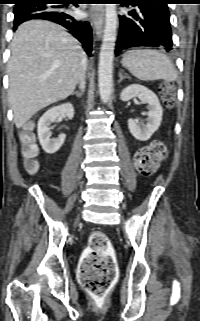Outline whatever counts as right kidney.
<instances>
[{
  "instance_id": "1",
  "label": "right kidney",
  "mask_w": 200,
  "mask_h": 321,
  "mask_svg": "<svg viewBox=\"0 0 200 321\" xmlns=\"http://www.w3.org/2000/svg\"><path fill=\"white\" fill-rule=\"evenodd\" d=\"M61 115L72 119L74 116L73 105L65 103L52 107L38 121V138L43 150L48 154L56 153L65 141L66 135L64 133H61L56 139H51L50 124L55 122Z\"/></svg>"
}]
</instances>
